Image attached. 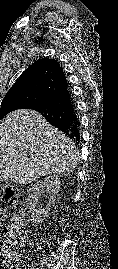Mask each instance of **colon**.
Here are the masks:
<instances>
[{"label": "colon", "instance_id": "colon-1", "mask_svg": "<svg viewBox=\"0 0 118 269\" xmlns=\"http://www.w3.org/2000/svg\"><path fill=\"white\" fill-rule=\"evenodd\" d=\"M0 197L9 207V225L4 238L0 239V269H18L17 248L25 244L27 236L25 206L14 188L1 183Z\"/></svg>", "mask_w": 118, "mask_h": 269}]
</instances>
